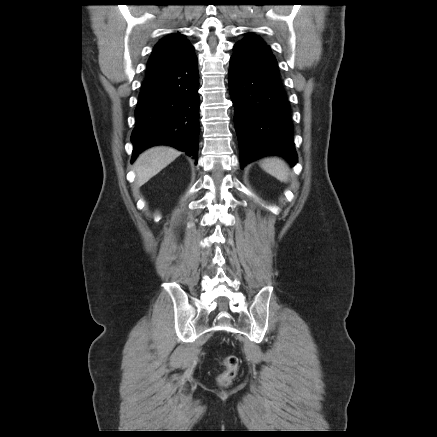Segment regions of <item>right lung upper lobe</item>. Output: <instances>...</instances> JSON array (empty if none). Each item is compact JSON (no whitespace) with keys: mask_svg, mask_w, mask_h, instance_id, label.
Returning <instances> with one entry per match:
<instances>
[{"mask_svg":"<svg viewBox=\"0 0 437 437\" xmlns=\"http://www.w3.org/2000/svg\"><path fill=\"white\" fill-rule=\"evenodd\" d=\"M193 50V46L181 34L166 36L153 49L148 61L147 75L187 59L193 55Z\"/></svg>","mask_w":437,"mask_h":437,"instance_id":"obj_1","label":"right lung upper lobe"}]
</instances>
